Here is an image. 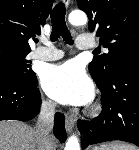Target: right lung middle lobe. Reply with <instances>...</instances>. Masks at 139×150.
<instances>
[{"label":"right lung middle lobe","instance_id":"obj_1","mask_svg":"<svg viewBox=\"0 0 139 150\" xmlns=\"http://www.w3.org/2000/svg\"><path fill=\"white\" fill-rule=\"evenodd\" d=\"M30 52L0 47V76H8L23 82L35 81L31 61L26 59Z\"/></svg>","mask_w":139,"mask_h":150}]
</instances>
